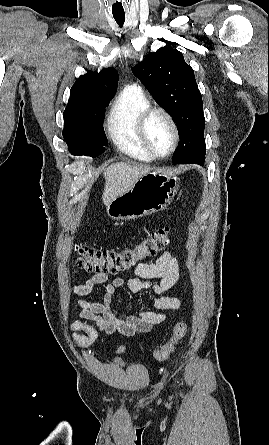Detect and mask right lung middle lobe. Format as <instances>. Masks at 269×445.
Returning a JSON list of instances; mask_svg holds the SVG:
<instances>
[{
    "label": "right lung middle lobe",
    "instance_id": "dd1d6c3e",
    "mask_svg": "<svg viewBox=\"0 0 269 445\" xmlns=\"http://www.w3.org/2000/svg\"><path fill=\"white\" fill-rule=\"evenodd\" d=\"M106 106L99 103L65 109L63 137L72 154L96 157L105 150L108 141L102 119Z\"/></svg>",
    "mask_w": 269,
    "mask_h": 445
}]
</instances>
